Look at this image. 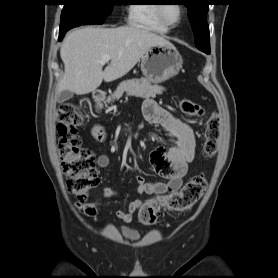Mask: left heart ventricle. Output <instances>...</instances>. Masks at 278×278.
<instances>
[{
    "instance_id": "b2bd125f",
    "label": "left heart ventricle",
    "mask_w": 278,
    "mask_h": 278,
    "mask_svg": "<svg viewBox=\"0 0 278 278\" xmlns=\"http://www.w3.org/2000/svg\"><path fill=\"white\" fill-rule=\"evenodd\" d=\"M164 12L170 22H176L180 16V8L178 5H166Z\"/></svg>"
}]
</instances>
